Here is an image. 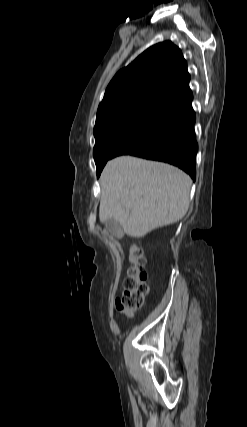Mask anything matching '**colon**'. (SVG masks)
Segmentation results:
<instances>
[{
  "mask_svg": "<svg viewBox=\"0 0 247 427\" xmlns=\"http://www.w3.org/2000/svg\"><path fill=\"white\" fill-rule=\"evenodd\" d=\"M129 260L131 266L128 275L124 280V291L116 299L117 310L130 316L142 305L148 293L147 274L144 271L145 257L140 247L132 245L129 248Z\"/></svg>",
  "mask_w": 247,
  "mask_h": 427,
  "instance_id": "obj_1",
  "label": "colon"
}]
</instances>
